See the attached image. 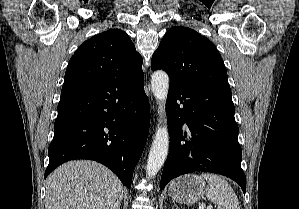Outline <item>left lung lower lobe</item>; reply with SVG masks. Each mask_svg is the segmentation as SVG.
<instances>
[{"label": "left lung lower lobe", "mask_w": 299, "mask_h": 209, "mask_svg": "<svg viewBox=\"0 0 299 209\" xmlns=\"http://www.w3.org/2000/svg\"><path fill=\"white\" fill-rule=\"evenodd\" d=\"M166 112L170 149L160 189L179 175L205 171L233 179L245 193L231 89L214 84L170 83Z\"/></svg>", "instance_id": "0a47b994"}]
</instances>
